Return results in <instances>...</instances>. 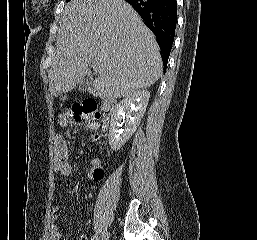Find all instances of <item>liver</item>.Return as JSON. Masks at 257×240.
<instances>
[{
	"label": "liver",
	"instance_id": "liver-1",
	"mask_svg": "<svg viewBox=\"0 0 257 240\" xmlns=\"http://www.w3.org/2000/svg\"><path fill=\"white\" fill-rule=\"evenodd\" d=\"M99 64L93 87L103 97L122 98L153 85L162 60L153 33L124 0H72L62 12L49 90L66 93Z\"/></svg>",
	"mask_w": 257,
	"mask_h": 240
}]
</instances>
